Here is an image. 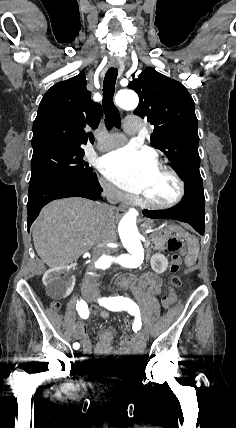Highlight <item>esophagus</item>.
<instances>
[{"instance_id": "obj_1", "label": "esophagus", "mask_w": 236, "mask_h": 428, "mask_svg": "<svg viewBox=\"0 0 236 428\" xmlns=\"http://www.w3.org/2000/svg\"><path fill=\"white\" fill-rule=\"evenodd\" d=\"M112 67H118L119 66V62L114 61V62H110L109 63Z\"/></svg>"}]
</instances>
